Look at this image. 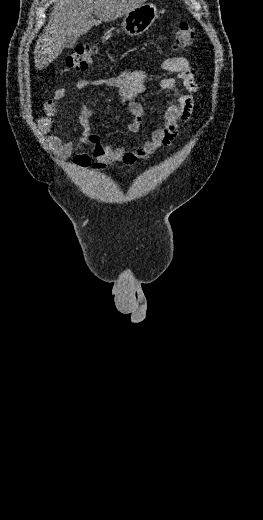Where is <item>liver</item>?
Segmentation results:
<instances>
[{"instance_id":"1","label":"liver","mask_w":263,"mask_h":520,"mask_svg":"<svg viewBox=\"0 0 263 520\" xmlns=\"http://www.w3.org/2000/svg\"><path fill=\"white\" fill-rule=\"evenodd\" d=\"M146 0H56L49 22L34 51L35 67L46 68L67 46L92 27L113 21L132 11ZM93 14L97 17L94 18Z\"/></svg>"}]
</instances>
